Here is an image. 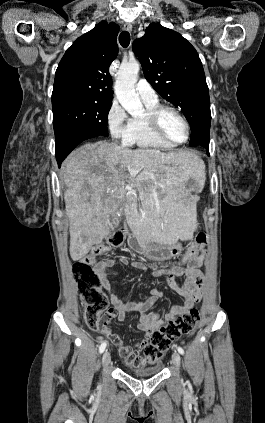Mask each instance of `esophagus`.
I'll return each mask as SVG.
<instances>
[{
  "label": "esophagus",
  "instance_id": "esophagus-1",
  "mask_svg": "<svg viewBox=\"0 0 265 423\" xmlns=\"http://www.w3.org/2000/svg\"><path fill=\"white\" fill-rule=\"evenodd\" d=\"M124 30L131 32L132 31V24L129 22L124 23L123 25Z\"/></svg>",
  "mask_w": 265,
  "mask_h": 423
}]
</instances>
